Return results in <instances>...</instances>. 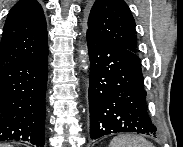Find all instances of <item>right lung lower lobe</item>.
Listing matches in <instances>:
<instances>
[{
  "mask_svg": "<svg viewBox=\"0 0 183 147\" xmlns=\"http://www.w3.org/2000/svg\"><path fill=\"white\" fill-rule=\"evenodd\" d=\"M48 49L23 63L0 69V141L44 147Z\"/></svg>",
  "mask_w": 183,
  "mask_h": 147,
  "instance_id": "right-lung-lower-lobe-1",
  "label": "right lung lower lobe"
}]
</instances>
